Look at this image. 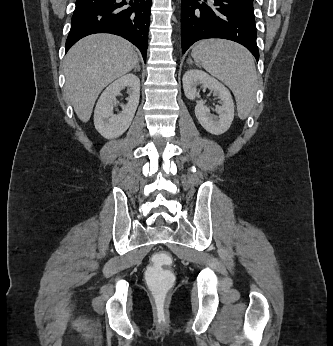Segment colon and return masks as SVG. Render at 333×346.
Listing matches in <instances>:
<instances>
[{
    "label": "colon",
    "instance_id": "5ec220e1",
    "mask_svg": "<svg viewBox=\"0 0 333 346\" xmlns=\"http://www.w3.org/2000/svg\"><path fill=\"white\" fill-rule=\"evenodd\" d=\"M153 264L148 265L144 274L147 279V286L153 299L154 310H164L168 290L175 288V281L171 273V256L166 252H159L153 257Z\"/></svg>",
    "mask_w": 333,
    "mask_h": 346
}]
</instances>
